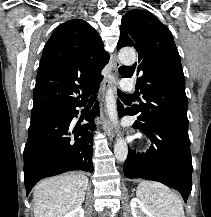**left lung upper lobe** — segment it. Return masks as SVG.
<instances>
[{
  "label": "left lung upper lobe",
  "mask_w": 211,
  "mask_h": 217,
  "mask_svg": "<svg viewBox=\"0 0 211 217\" xmlns=\"http://www.w3.org/2000/svg\"><path fill=\"white\" fill-rule=\"evenodd\" d=\"M125 46L139 54L138 63L119 68L124 77L138 76L136 91L144 101L130 108L133 115L188 132L185 77L170 30L149 11L130 10L122 17L117 49Z\"/></svg>",
  "instance_id": "left-lung-upper-lobe-1"
}]
</instances>
